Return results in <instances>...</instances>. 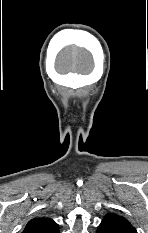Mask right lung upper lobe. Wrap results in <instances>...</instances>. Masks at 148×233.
Wrapping results in <instances>:
<instances>
[{"mask_svg": "<svg viewBox=\"0 0 148 233\" xmlns=\"http://www.w3.org/2000/svg\"><path fill=\"white\" fill-rule=\"evenodd\" d=\"M22 233H59V228L53 219L37 217L27 223Z\"/></svg>", "mask_w": 148, "mask_h": 233, "instance_id": "obj_1", "label": "right lung upper lobe"}]
</instances>
